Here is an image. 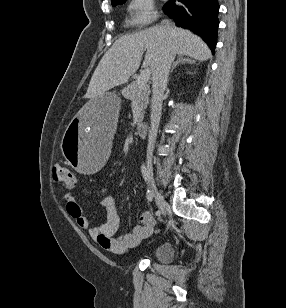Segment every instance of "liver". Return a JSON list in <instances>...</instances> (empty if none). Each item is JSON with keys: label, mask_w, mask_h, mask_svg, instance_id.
I'll return each instance as SVG.
<instances>
[{"label": "liver", "mask_w": 286, "mask_h": 308, "mask_svg": "<svg viewBox=\"0 0 286 308\" xmlns=\"http://www.w3.org/2000/svg\"><path fill=\"white\" fill-rule=\"evenodd\" d=\"M176 54L190 56L199 61L211 57L205 42L188 30L175 26H155L116 40L104 54L90 80L86 98L95 102L115 86L128 81L140 66L146 51L144 66L153 74L168 46Z\"/></svg>", "instance_id": "1"}]
</instances>
